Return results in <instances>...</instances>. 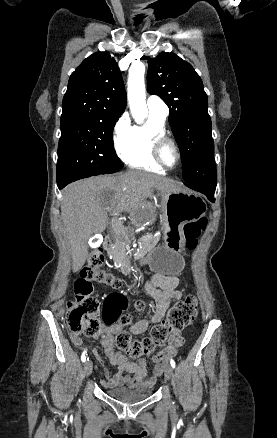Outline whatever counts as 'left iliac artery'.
<instances>
[{
    "label": "left iliac artery",
    "mask_w": 277,
    "mask_h": 438,
    "mask_svg": "<svg viewBox=\"0 0 277 438\" xmlns=\"http://www.w3.org/2000/svg\"><path fill=\"white\" fill-rule=\"evenodd\" d=\"M170 364L173 368H175L176 364H175V361L173 359L170 360Z\"/></svg>",
    "instance_id": "obj_1"
}]
</instances>
